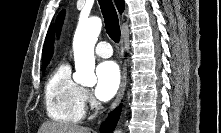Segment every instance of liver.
Returning a JSON list of instances; mask_svg holds the SVG:
<instances>
[{"label": "liver", "mask_w": 221, "mask_h": 133, "mask_svg": "<svg viewBox=\"0 0 221 133\" xmlns=\"http://www.w3.org/2000/svg\"><path fill=\"white\" fill-rule=\"evenodd\" d=\"M38 133H91L86 127L69 125L58 122H45L39 129Z\"/></svg>", "instance_id": "1"}]
</instances>
